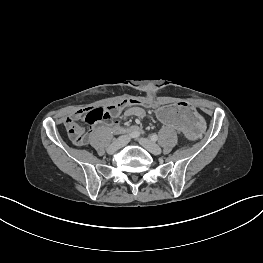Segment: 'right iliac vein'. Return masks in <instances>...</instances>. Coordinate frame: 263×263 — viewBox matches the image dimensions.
<instances>
[{
    "mask_svg": "<svg viewBox=\"0 0 263 263\" xmlns=\"http://www.w3.org/2000/svg\"><path fill=\"white\" fill-rule=\"evenodd\" d=\"M128 141V136H121L118 139L114 140L110 146L107 148V152L109 154H113L116 151H118L120 148H122L123 146H125L127 144Z\"/></svg>",
    "mask_w": 263,
    "mask_h": 263,
    "instance_id": "obj_1",
    "label": "right iliac vein"
}]
</instances>
